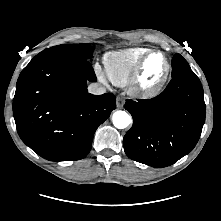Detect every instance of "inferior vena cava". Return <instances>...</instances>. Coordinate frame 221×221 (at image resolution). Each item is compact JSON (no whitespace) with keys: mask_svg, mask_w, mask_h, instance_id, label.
Segmentation results:
<instances>
[{"mask_svg":"<svg viewBox=\"0 0 221 221\" xmlns=\"http://www.w3.org/2000/svg\"><path fill=\"white\" fill-rule=\"evenodd\" d=\"M88 92L94 95H101L106 93V88L99 83H91L88 86Z\"/></svg>","mask_w":221,"mask_h":221,"instance_id":"1","label":"inferior vena cava"}]
</instances>
